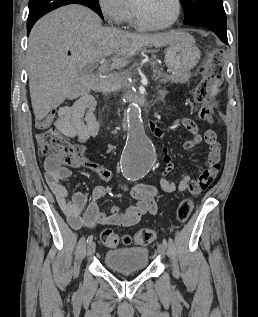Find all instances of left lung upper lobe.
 Returning a JSON list of instances; mask_svg holds the SVG:
<instances>
[{
    "label": "left lung upper lobe",
    "instance_id": "left-lung-upper-lobe-1",
    "mask_svg": "<svg viewBox=\"0 0 258 317\" xmlns=\"http://www.w3.org/2000/svg\"><path fill=\"white\" fill-rule=\"evenodd\" d=\"M185 23L193 26H216L226 29L223 0H180Z\"/></svg>",
    "mask_w": 258,
    "mask_h": 317
}]
</instances>
